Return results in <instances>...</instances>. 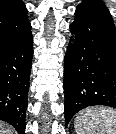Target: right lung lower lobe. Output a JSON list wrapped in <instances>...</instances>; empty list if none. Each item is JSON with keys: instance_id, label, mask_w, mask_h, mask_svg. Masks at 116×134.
<instances>
[{"instance_id": "1", "label": "right lung lower lobe", "mask_w": 116, "mask_h": 134, "mask_svg": "<svg viewBox=\"0 0 116 134\" xmlns=\"http://www.w3.org/2000/svg\"><path fill=\"white\" fill-rule=\"evenodd\" d=\"M33 38L31 29L0 50V120L25 134Z\"/></svg>"}]
</instances>
